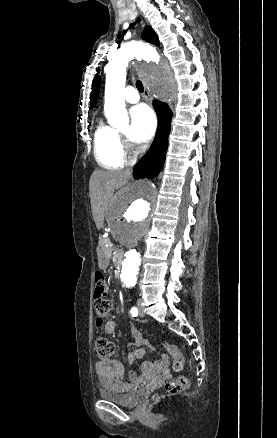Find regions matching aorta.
<instances>
[{"label": "aorta", "mask_w": 277, "mask_h": 438, "mask_svg": "<svg viewBox=\"0 0 277 438\" xmlns=\"http://www.w3.org/2000/svg\"><path fill=\"white\" fill-rule=\"evenodd\" d=\"M131 59L152 64L140 68L145 85L162 99L173 102L178 86L171 70L162 65L154 48L141 42L123 45L106 66L104 111L115 128L129 122L125 109L124 88L126 67ZM157 191L153 183L139 180L118 195L109 211V227L115 240L125 249L121 281L127 288L134 287L140 267L138 244L148 234L156 211Z\"/></svg>", "instance_id": "762f6f07"}]
</instances>
